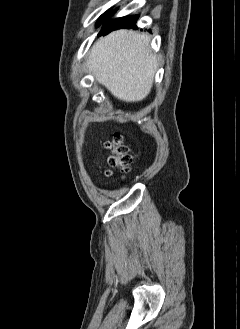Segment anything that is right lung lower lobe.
Segmentation results:
<instances>
[{"label":"right lung lower lobe","mask_w":240,"mask_h":329,"mask_svg":"<svg viewBox=\"0 0 240 329\" xmlns=\"http://www.w3.org/2000/svg\"><path fill=\"white\" fill-rule=\"evenodd\" d=\"M114 13L115 11L111 12L109 16L113 15ZM109 16L106 18V20L109 18ZM138 17L139 15H134L113 19L106 23L98 35H106L113 30L121 28H135Z\"/></svg>","instance_id":"98d812e1"}]
</instances>
